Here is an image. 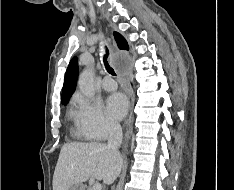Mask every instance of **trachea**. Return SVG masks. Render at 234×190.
I'll list each match as a JSON object with an SVG mask.
<instances>
[{"label": "trachea", "mask_w": 234, "mask_h": 190, "mask_svg": "<svg viewBox=\"0 0 234 190\" xmlns=\"http://www.w3.org/2000/svg\"><path fill=\"white\" fill-rule=\"evenodd\" d=\"M108 55H109V51L107 49L106 54L103 57V62H104L105 68L111 75H116L114 72V69L109 65V63L107 61Z\"/></svg>", "instance_id": "trachea-1"}]
</instances>
